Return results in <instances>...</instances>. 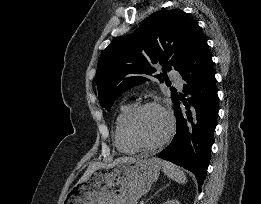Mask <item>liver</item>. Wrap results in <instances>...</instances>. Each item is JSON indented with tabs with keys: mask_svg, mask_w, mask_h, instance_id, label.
<instances>
[{
	"mask_svg": "<svg viewBox=\"0 0 261 204\" xmlns=\"http://www.w3.org/2000/svg\"><path fill=\"white\" fill-rule=\"evenodd\" d=\"M127 160H133V158L131 157H121V158H117L115 159L111 164L109 165H105L103 163H99V162H95L92 163L91 165H89V167L87 168V170L85 171L84 175L81 177V179L79 180L80 182L85 181L86 179H88V177L98 168L103 167V166H111V165H115L119 162L122 161H127Z\"/></svg>",
	"mask_w": 261,
	"mask_h": 204,
	"instance_id": "liver-1",
	"label": "liver"
}]
</instances>
